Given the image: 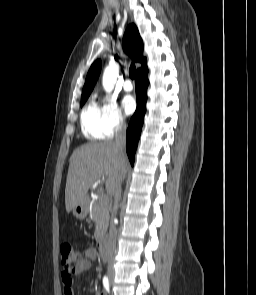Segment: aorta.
Returning a JSON list of instances; mask_svg holds the SVG:
<instances>
[{"label":"aorta","instance_id":"762f6f07","mask_svg":"<svg viewBox=\"0 0 256 295\" xmlns=\"http://www.w3.org/2000/svg\"><path fill=\"white\" fill-rule=\"evenodd\" d=\"M118 71V65L112 62L104 70L102 85L106 92L110 93L113 91L117 80Z\"/></svg>","mask_w":256,"mask_h":295}]
</instances>
